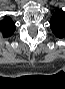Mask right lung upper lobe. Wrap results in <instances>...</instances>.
I'll return each instance as SVG.
<instances>
[{
	"label": "right lung upper lobe",
	"instance_id": "obj_1",
	"mask_svg": "<svg viewBox=\"0 0 65 89\" xmlns=\"http://www.w3.org/2000/svg\"><path fill=\"white\" fill-rule=\"evenodd\" d=\"M0 31L3 34V37H9L15 31V23L10 17L4 18L0 21Z\"/></svg>",
	"mask_w": 65,
	"mask_h": 89
}]
</instances>
